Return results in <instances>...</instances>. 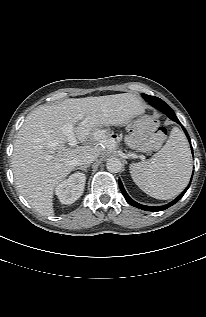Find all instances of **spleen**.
Returning <instances> with one entry per match:
<instances>
[{"label": "spleen", "mask_w": 206, "mask_h": 317, "mask_svg": "<svg viewBox=\"0 0 206 317\" xmlns=\"http://www.w3.org/2000/svg\"><path fill=\"white\" fill-rule=\"evenodd\" d=\"M192 171L191 154L183 132L174 127L163 148L147 161L130 165L135 184L156 199L178 195L188 184Z\"/></svg>", "instance_id": "3e777b00"}]
</instances>
